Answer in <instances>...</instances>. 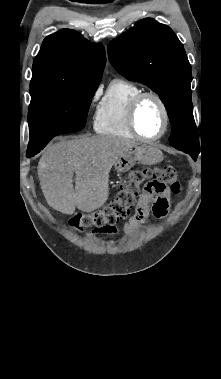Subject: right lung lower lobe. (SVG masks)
<instances>
[{"label":"right lung lower lobe","instance_id":"obj_1","mask_svg":"<svg viewBox=\"0 0 221 379\" xmlns=\"http://www.w3.org/2000/svg\"><path fill=\"white\" fill-rule=\"evenodd\" d=\"M42 148L44 147L41 146V147L34 148V147L28 146L26 156L30 158L31 156H34L35 154H37Z\"/></svg>","mask_w":221,"mask_h":379}]
</instances>
